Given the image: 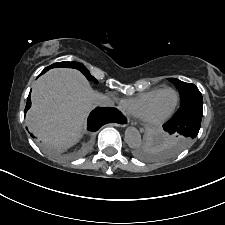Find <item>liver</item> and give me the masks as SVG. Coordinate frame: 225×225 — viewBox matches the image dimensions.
Segmentation results:
<instances>
[{
  "mask_svg": "<svg viewBox=\"0 0 225 225\" xmlns=\"http://www.w3.org/2000/svg\"><path fill=\"white\" fill-rule=\"evenodd\" d=\"M97 95L79 71L52 69L34 84L27 126L43 142L69 148L82 137L83 125Z\"/></svg>",
  "mask_w": 225,
  "mask_h": 225,
  "instance_id": "6515ba94",
  "label": "liver"
}]
</instances>
